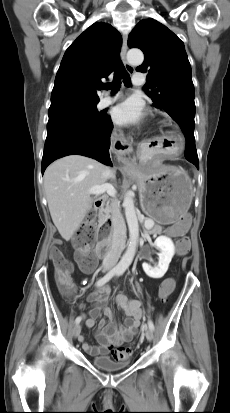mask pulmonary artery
<instances>
[{
    "instance_id": "pulmonary-artery-1",
    "label": "pulmonary artery",
    "mask_w": 230,
    "mask_h": 413,
    "mask_svg": "<svg viewBox=\"0 0 230 413\" xmlns=\"http://www.w3.org/2000/svg\"><path fill=\"white\" fill-rule=\"evenodd\" d=\"M145 81H146L145 76L142 73H135L132 77V82L135 85H143ZM118 97H119L118 93L112 94V95H105L99 100L98 106L100 108L106 107L112 104Z\"/></svg>"
}]
</instances>
